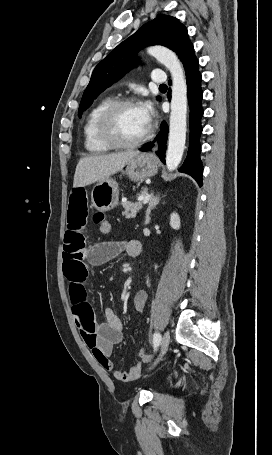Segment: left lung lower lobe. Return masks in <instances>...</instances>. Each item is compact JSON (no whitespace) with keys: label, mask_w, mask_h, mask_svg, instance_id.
<instances>
[{"label":"left lung lower lobe","mask_w":272,"mask_h":455,"mask_svg":"<svg viewBox=\"0 0 272 455\" xmlns=\"http://www.w3.org/2000/svg\"><path fill=\"white\" fill-rule=\"evenodd\" d=\"M198 65L199 63L197 59L188 60L184 64L187 80L188 103L190 108V139L187 157L179 171L191 175L201 186L203 168L199 157L201 152L199 137L202 132L200 120L203 116V109L201 106L203 93L200 86L202 78L198 70ZM168 98L170 99V90L168 92ZM167 134L168 126L164 121L162 122L161 132L156 137L159 144L158 151L156 153L163 163H165ZM153 146V142L148 143L144 147L140 148V150L144 152L150 151Z\"/></svg>","instance_id":"1"}]
</instances>
